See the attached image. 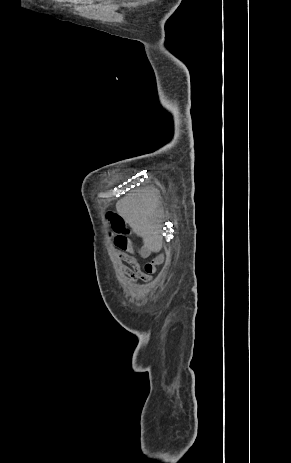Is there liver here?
Segmentation results:
<instances>
[{
    "instance_id": "6515ba94",
    "label": "liver",
    "mask_w": 291,
    "mask_h": 463,
    "mask_svg": "<svg viewBox=\"0 0 291 463\" xmlns=\"http://www.w3.org/2000/svg\"><path fill=\"white\" fill-rule=\"evenodd\" d=\"M118 214L129 224L144 242V247L151 252L162 248L160 214L158 198L153 191L143 190L128 195L116 203Z\"/></svg>"
}]
</instances>
